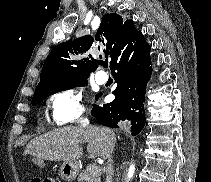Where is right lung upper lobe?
<instances>
[{
  "instance_id": "obj_1",
  "label": "right lung upper lobe",
  "mask_w": 211,
  "mask_h": 182,
  "mask_svg": "<svg viewBox=\"0 0 211 182\" xmlns=\"http://www.w3.org/2000/svg\"><path fill=\"white\" fill-rule=\"evenodd\" d=\"M137 34L132 20L123 22L120 15L113 13L102 18L95 40L103 43L105 47L103 52L110 58L112 67L119 49L127 45ZM93 46L94 38L91 35L57 45L44 62L40 82L34 95L50 86L67 84L88 77L90 72L97 69L99 62L95 59L75 60V58L87 54Z\"/></svg>"
}]
</instances>
